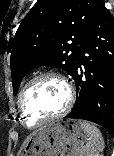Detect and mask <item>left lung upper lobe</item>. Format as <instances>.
<instances>
[{"label": "left lung upper lobe", "instance_id": "left-lung-upper-lobe-1", "mask_svg": "<svg viewBox=\"0 0 114 156\" xmlns=\"http://www.w3.org/2000/svg\"><path fill=\"white\" fill-rule=\"evenodd\" d=\"M100 0H38L20 24L11 52L14 94L22 78L42 65L73 76L77 56Z\"/></svg>", "mask_w": 114, "mask_h": 156}]
</instances>
